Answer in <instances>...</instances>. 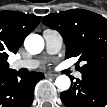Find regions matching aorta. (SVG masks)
Listing matches in <instances>:
<instances>
[{
    "label": "aorta",
    "instance_id": "762f6f07",
    "mask_svg": "<svg viewBox=\"0 0 107 107\" xmlns=\"http://www.w3.org/2000/svg\"><path fill=\"white\" fill-rule=\"evenodd\" d=\"M24 46L30 54H39L44 48V39L38 34H30L26 37ZM55 85L61 91H66L71 85L70 78L66 75H60L56 78Z\"/></svg>",
    "mask_w": 107,
    "mask_h": 107
}]
</instances>
